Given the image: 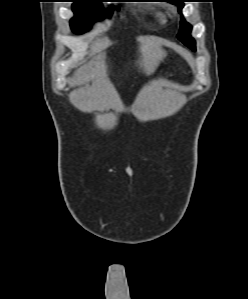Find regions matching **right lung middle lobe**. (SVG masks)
<instances>
[{
	"mask_svg": "<svg viewBox=\"0 0 248 299\" xmlns=\"http://www.w3.org/2000/svg\"><path fill=\"white\" fill-rule=\"evenodd\" d=\"M103 1L105 0H74L72 10L75 16L70 21L72 31L82 34L90 29L93 22L105 17L106 13L98 8Z\"/></svg>",
	"mask_w": 248,
	"mask_h": 299,
	"instance_id": "obj_1",
	"label": "right lung middle lobe"
}]
</instances>
